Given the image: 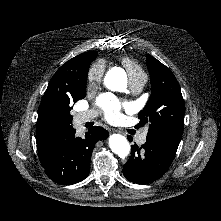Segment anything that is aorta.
Listing matches in <instances>:
<instances>
[{
    "label": "aorta",
    "mask_w": 221,
    "mask_h": 221,
    "mask_svg": "<svg viewBox=\"0 0 221 221\" xmlns=\"http://www.w3.org/2000/svg\"><path fill=\"white\" fill-rule=\"evenodd\" d=\"M104 83L109 90L120 91L126 86V73L120 69H111L106 74ZM109 146L120 158H125L130 153V144L128 140L120 134H113L109 137Z\"/></svg>",
    "instance_id": "1"
}]
</instances>
